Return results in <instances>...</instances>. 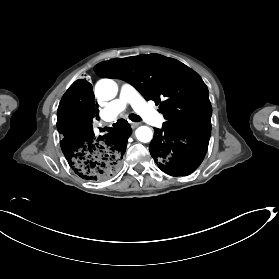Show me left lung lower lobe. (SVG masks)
<instances>
[{"mask_svg": "<svg viewBox=\"0 0 279 279\" xmlns=\"http://www.w3.org/2000/svg\"><path fill=\"white\" fill-rule=\"evenodd\" d=\"M149 151L159 168L172 176H186L204 159L211 132L154 128Z\"/></svg>", "mask_w": 279, "mask_h": 279, "instance_id": "1", "label": "left lung lower lobe"}]
</instances>
